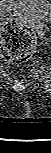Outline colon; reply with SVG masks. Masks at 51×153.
Segmentation results:
<instances>
[{
	"label": "colon",
	"instance_id": "1",
	"mask_svg": "<svg viewBox=\"0 0 51 153\" xmlns=\"http://www.w3.org/2000/svg\"><path fill=\"white\" fill-rule=\"evenodd\" d=\"M36 46L35 34L16 22L7 23L2 31V55L13 63L26 61Z\"/></svg>",
	"mask_w": 51,
	"mask_h": 153
}]
</instances>
